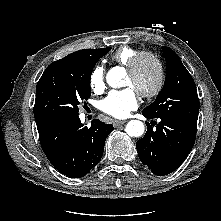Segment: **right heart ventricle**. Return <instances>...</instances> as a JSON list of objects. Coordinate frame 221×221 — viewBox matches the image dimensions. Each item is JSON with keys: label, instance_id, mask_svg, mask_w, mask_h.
<instances>
[{"label": "right heart ventricle", "instance_id": "right-heart-ventricle-1", "mask_svg": "<svg viewBox=\"0 0 221 221\" xmlns=\"http://www.w3.org/2000/svg\"><path fill=\"white\" fill-rule=\"evenodd\" d=\"M139 52L140 50L136 48L122 46L111 55V60L121 66L127 67L132 58Z\"/></svg>", "mask_w": 221, "mask_h": 221}]
</instances>
